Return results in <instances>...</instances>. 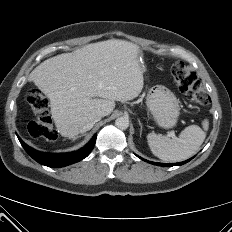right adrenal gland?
I'll return each instance as SVG.
<instances>
[{
  "instance_id": "2a0ac1e0",
  "label": "right adrenal gland",
  "mask_w": 232,
  "mask_h": 232,
  "mask_svg": "<svg viewBox=\"0 0 232 232\" xmlns=\"http://www.w3.org/2000/svg\"><path fill=\"white\" fill-rule=\"evenodd\" d=\"M81 136H84V134H81V135L77 136L76 138H79V137H81Z\"/></svg>"
}]
</instances>
